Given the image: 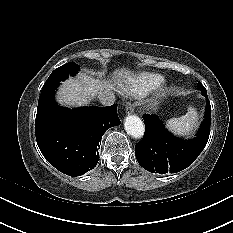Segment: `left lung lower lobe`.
Returning <instances> with one entry per match:
<instances>
[{"label":"left lung lower lobe","mask_w":233,"mask_h":233,"mask_svg":"<svg viewBox=\"0 0 233 233\" xmlns=\"http://www.w3.org/2000/svg\"><path fill=\"white\" fill-rule=\"evenodd\" d=\"M201 92L207 98L206 89ZM143 119L145 134L135 146L138 163L152 173H177L189 167L205 148L210 134L211 106L207 98L205 119L192 140L173 136L157 115H144Z\"/></svg>","instance_id":"left-lung-lower-lobe-1"}]
</instances>
